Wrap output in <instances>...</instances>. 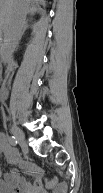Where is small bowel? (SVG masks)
Instances as JSON below:
<instances>
[{"instance_id":"c3829d8e","label":"small bowel","mask_w":103,"mask_h":193,"mask_svg":"<svg viewBox=\"0 0 103 193\" xmlns=\"http://www.w3.org/2000/svg\"><path fill=\"white\" fill-rule=\"evenodd\" d=\"M0 152L9 164L15 165L4 173L0 193H66L65 183L54 178L44 181L43 170L31 161L22 160L18 152L9 146L5 135L0 136ZM21 171L28 173L33 183Z\"/></svg>"}]
</instances>
